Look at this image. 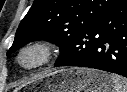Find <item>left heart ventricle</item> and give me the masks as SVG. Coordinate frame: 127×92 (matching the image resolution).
Masks as SVG:
<instances>
[{"instance_id": "obj_1", "label": "left heart ventricle", "mask_w": 127, "mask_h": 92, "mask_svg": "<svg viewBox=\"0 0 127 92\" xmlns=\"http://www.w3.org/2000/svg\"><path fill=\"white\" fill-rule=\"evenodd\" d=\"M36 60H37V55L32 53V54L26 55V57L24 58V63L31 64L35 62Z\"/></svg>"}]
</instances>
